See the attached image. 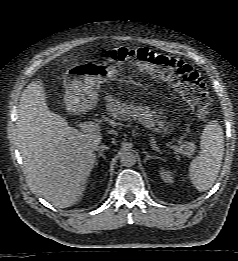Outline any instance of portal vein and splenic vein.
Returning <instances> with one entry per match:
<instances>
[{
	"label": "portal vein and splenic vein",
	"mask_w": 238,
	"mask_h": 261,
	"mask_svg": "<svg viewBox=\"0 0 238 261\" xmlns=\"http://www.w3.org/2000/svg\"><path fill=\"white\" fill-rule=\"evenodd\" d=\"M80 128L85 133H99V131H100V125L98 123H95V122H84V123H81L80 124ZM170 147L175 152H177L179 154L191 156L190 154L185 152V150L182 149L181 147H178V146H176L174 144H171Z\"/></svg>",
	"instance_id": "portal-vein-and-splenic-vein-1"
}]
</instances>
